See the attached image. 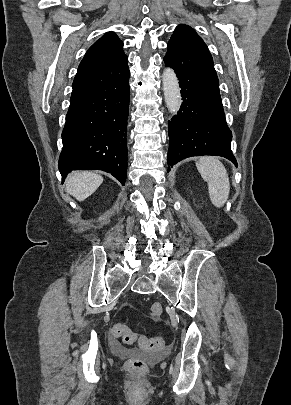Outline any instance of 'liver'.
Returning a JSON list of instances; mask_svg holds the SVG:
<instances>
[{"mask_svg":"<svg viewBox=\"0 0 291 405\" xmlns=\"http://www.w3.org/2000/svg\"><path fill=\"white\" fill-rule=\"evenodd\" d=\"M103 177L91 171H77L66 179V190L78 201H83L92 195L102 184Z\"/></svg>","mask_w":291,"mask_h":405,"instance_id":"obj_1","label":"liver"}]
</instances>
